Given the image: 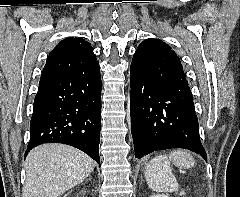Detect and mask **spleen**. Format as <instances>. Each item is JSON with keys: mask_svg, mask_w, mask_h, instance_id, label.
I'll return each instance as SVG.
<instances>
[{"mask_svg": "<svg viewBox=\"0 0 240 197\" xmlns=\"http://www.w3.org/2000/svg\"><path fill=\"white\" fill-rule=\"evenodd\" d=\"M180 161H193V157L182 150H175L169 155H159L150 160L145 166V177L150 189L156 192H174L178 182L170 166Z\"/></svg>", "mask_w": 240, "mask_h": 197, "instance_id": "1", "label": "spleen"}]
</instances>
